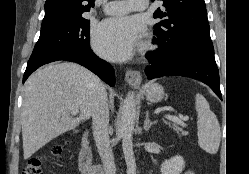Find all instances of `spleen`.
I'll return each mask as SVG.
<instances>
[{
  "label": "spleen",
  "mask_w": 249,
  "mask_h": 174,
  "mask_svg": "<svg viewBox=\"0 0 249 174\" xmlns=\"http://www.w3.org/2000/svg\"><path fill=\"white\" fill-rule=\"evenodd\" d=\"M197 112L198 145L210 154H216L220 145V125L216 115L210 110L209 103L201 94L195 97Z\"/></svg>",
  "instance_id": "spleen-1"
}]
</instances>
